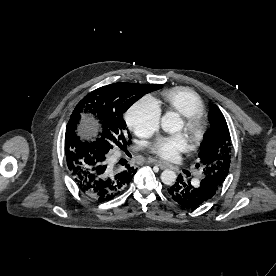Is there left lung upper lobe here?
<instances>
[{"mask_svg":"<svg viewBox=\"0 0 276 276\" xmlns=\"http://www.w3.org/2000/svg\"><path fill=\"white\" fill-rule=\"evenodd\" d=\"M210 105V129L201 143V151L198 154L200 164H196V167L203 170V176L212 177L220 188L229 172L231 137L220 109L213 104Z\"/></svg>","mask_w":276,"mask_h":276,"instance_id":"obj_1","label":"left lung upper lobe"}]
</instances>
